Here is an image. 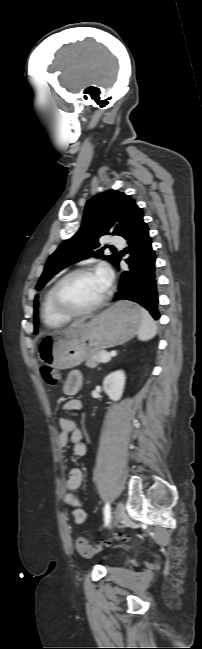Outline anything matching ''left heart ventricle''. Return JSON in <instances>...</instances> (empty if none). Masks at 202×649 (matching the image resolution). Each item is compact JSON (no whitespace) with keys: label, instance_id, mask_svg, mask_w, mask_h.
<instances>
[{"label":"left heart ventricle","instance_id":"left-heart-ventricle-1","mask_svg":"<svg viewBox=\"0 0 202 649\" xmlns=\"http://www.w3.org/2000/svg\"><path fill=\"white\" fill-rule=\"evenodd\" d=\"M107 285L96 272L77 275L69 279L62 289L65 301L75 309H86L105 294Z\"/></svg>","mask_w":202,"mask_h":649}]
</instances>
